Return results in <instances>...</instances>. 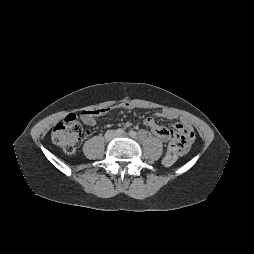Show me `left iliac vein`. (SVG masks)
<instances>
[{
  "mask_svg": "<svg viewBox=\"0 0 254 254\" xmlns=\"http://www.w3.org/2000/svg\"><path fill=\"white\" fill-rule=\"evenodd\" d=\"M127 134L117 135V137H126Z\"/></svg>",
  "mask_w": 254,
  "mask_h": 254,
  "instance_id": "4c4485c4",
  "label": "left iliac vein"
}]
</instances>
